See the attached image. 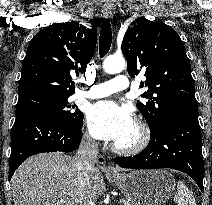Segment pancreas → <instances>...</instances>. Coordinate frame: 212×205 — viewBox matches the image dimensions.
Segmentation results:
<instances>
[{"label": "pancreas", "instance_id": "1", "mask_svg": "<svg viewBox=\"0 0 212 205\" xmlns=\"http://www.w3.org/2000/svg\"><path fill=\"white\" fill-rule=\"evenodd\" d=\"M122 203H123L124 205H132L131 203H129L128 201H125V200H122Z\"/></svg>", "mask_w": 212, "mask_h": 205}]
</instances>
